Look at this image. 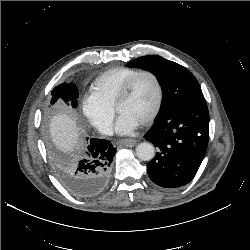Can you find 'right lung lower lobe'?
Listing matches in <instances>:
<instances>
[{
    "mask_svg": "<svg viewBox=\"0 0 250 250\" xmlns=\"http://www.w3.org/2000/svg\"><path fill=\"white\" fill-rule=\"evenodd\" d=\"M115 154L116 148L110 141L91 138L81 160L62 170V177L71 192L84 198L99 194L109 180Z\"/></svg>",
    "mask_w": 250,
    "mask_h": 250,
    "instance_id": "obj_1",
    "label": "right lung lower lobe"
}]
</instances>
